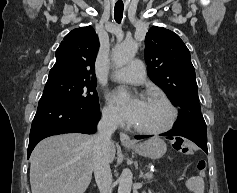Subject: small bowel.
Instances as JSON below:
<instances>
[{
    "label": "small bowel",
    "instance_id": "small-bowel-1",
    "mask_svg": "<svg viewBox=\"0 0 237 193\" xmlns=\"http://www.w3.org/2000/svg\"><path fill=\"white\" fill-rule=\"evenodd\" d=\"M185 187L193 193H204V181L200 176L190 173L185 180Z\"/></svg>",
    "mask_w": 237,
    "mask_h": 193
}]
</instances>
